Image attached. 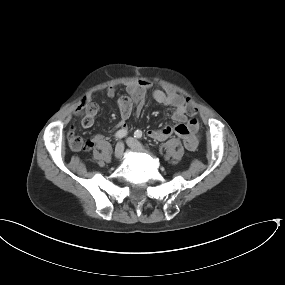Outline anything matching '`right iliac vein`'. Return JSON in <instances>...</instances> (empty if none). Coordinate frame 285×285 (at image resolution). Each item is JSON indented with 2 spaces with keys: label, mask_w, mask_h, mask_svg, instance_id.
<instances>
[{
  "label": "right iliac vein",
  "mask_w": 285,
  "mask_h": 285,
  "mask_svg": "<svg viewBox=\"0 0 285 285\" xmlns=\"http://www.w3.org/2000/svg\"><path fill=\"white\" fill-rule=\"evenodd\" d=\"M123 151H124L123 143L122 142L117 143V145L115 146V151H114L115 158L121 159L123 156Z\"/></svg>",
  "instance_id": "right-iliac-vein-1"
}]
</instances>
